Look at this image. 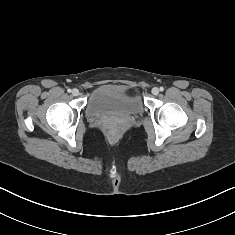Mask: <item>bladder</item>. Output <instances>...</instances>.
Listing matches in <instances>:
<instances>
[{
  "label": "bladder",
  "instance_id": "bladder-1",
  "mask_svg": "<svg viewBox=\"0 0 235 235\" xmlns=\"http://www.w3.org/2000/svg\"><path fill=\"white\" fill-rule=\"evenodd\" d=\"M143 112L141 100L118 85H107L92 92L86 114L90 118L126 117Z\"/></svg>",
  "mask_w": 235,
  "mask_h": 235
}]
</instances>
